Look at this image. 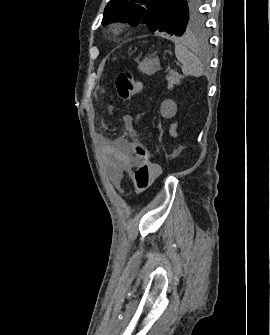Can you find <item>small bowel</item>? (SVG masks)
<instances>
[{"mask_svg": "<svg viewBox=\"0 0 270 335\" xmlns=\"http://www.w3.org/2000/svg\"><path fill=\"white\" fill-rule=\"evenodd\" d=\"M124 121L128 123L129 119L125 118ZM100 143L103 155L109 166L111 178L115 183H120L126 174H131L135 164L130 144L123 137H118L114 140L101 137Z\"/></svg>", "mask_w": 270, "mask_h": 335, "instance_id": "1", "label": "small bowel"}]
</instances>
